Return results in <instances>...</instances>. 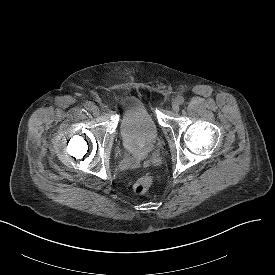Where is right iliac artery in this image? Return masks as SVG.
I'll use <instances>...</instances> for the list:
<instances>
[{
    "mask_svg": "<svg viewBox=\"0 0 275 275\" xmlns=\"http://www.w3.org/2000/svg\"><path fill=\"white\" fill-rule=\"evenodd\" d=\"M92 106H93V104H92L91 102H87V103L85 104V108H86L87 110H92Z\"/></svg>",
    "mask_w": 275,
    "mask_h": 275,
    "instance_id": "right-iliac-artery-1",
    "label": "right iliac artery"
}]
</instances>
